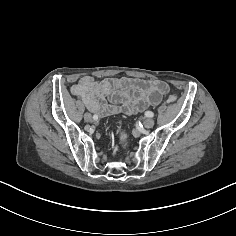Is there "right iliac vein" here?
<instances>
[{"instance_id": "right-iliac-vein-1", "label": "right iliac vein", "mask_w": 236, "mask_h": 236, "mask_svg": "<svg viewBox=\"0 0 236 236\" xmlns=\"http://www.w3.org/2000/svg\"><path fill=\"white\" fill-rule=\"evenodd\" d=\"M84 120L86 121V122H91L92 121V115L90 114V113H85L84 114Z\"/></svg>"}]
</instances>
